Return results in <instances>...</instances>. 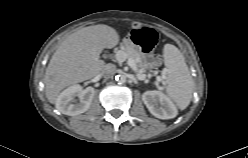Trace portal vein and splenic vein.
Segmentation results:
<instances>
[{
    "instance_id": "portal-vein-and-splenic-vein-1",
    "label": "portal vein and splenic vein",
    "mask_w": 248,
    "mask_h": 158,
    "mask_svg": "<svg viewBox=\"0 0 248 158\" xmlns=\"http://www.w3.org/2000/svg\"><path fill=\"white\" fill-rule=\"evenodd\" d=\"M116 58L117 60H121L122 62L127 60V64L132 68L133 71L137 72V66H136L135 61L132 58H127L124 52L118 51L116 53ZM137 77L140 80H144L146 78L145 75H140V74H138ZM161 80H162L161 77L158 76L157 81H161Z\"/></svg>"
}]
</instances>
